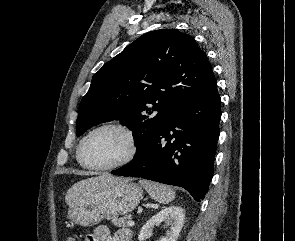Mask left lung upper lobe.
Listing matches in <instances>:
<instances>
[{
    "label": "left lung upper lobe",
    "instance_id": "5c2ea615",
    "mask_svg": "<svg viewBox=\"0 0 295 241\" xmlns=\"http://www.w3.org/2000/svg\"><path fill=\"white\" fill-rule=\"evenodd\" d=\"M216 82L206 54L177 29L145 33L94 74L82 98L76 134L120 120L139 155L159 128Z\"/></svg>",
    "mask_w": 295,
    "mask_h": 241
}]
</instances>
